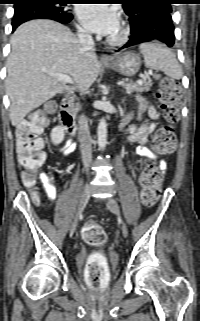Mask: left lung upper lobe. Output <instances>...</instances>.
<instances>
[{"label":"left lung upper lobe","mask_w":200,"mask_h":321,"mask_svg":"<svg viewBox=\"0 0 200 321\" xmlns=\"http://www.w3.org/2000/svg\"><path fill=\"white\" fill-rule=\"evenodd\" d=\"M123 9L128 16H132L148 9H164L172 12L171 4L174 0H121Z\"/></svg>","instance_id":"left-lung-upper-lobe-1"}]
</instances>
